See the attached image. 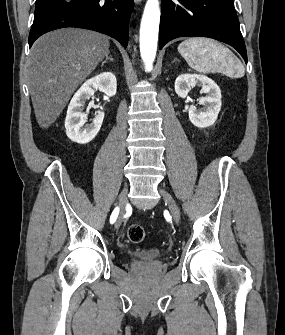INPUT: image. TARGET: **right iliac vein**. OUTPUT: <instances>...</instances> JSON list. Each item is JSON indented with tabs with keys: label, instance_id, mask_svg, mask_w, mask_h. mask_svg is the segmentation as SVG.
<instances>
[{
	"label": "right iliac vein",
	"instance_id": "63e3f726",
	"mask_svg": "<svg viewBox=\"0 0 285 335\" xmlns=\"http://www.w3.org/2000/svg\"><path fill=\"white\" fill-rule=\"evenodd\" d=\"M127 194H128V188L125 186L123 190L121 191L119 198H118V203H119V208H120V215L118 216L116 220V227L118 228L121 223L123 222V216H124V211H125V204L127 201Z\"/></svg>",
	"mask_w": 285,
	"mask_h": 335
}]
</instances>
